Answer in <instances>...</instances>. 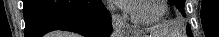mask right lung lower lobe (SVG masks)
I'll return each instance as SVG.
<instances>
[{
  "mask_svg": "<svg viewBox=\"0 0 219 37\" xmlns=\"http://www.w3.org/2000/svg\"><path fill=\"white\" fill-rule=\"evenodd\" d=\"M25 37L67 30L86 37H109L110 16L100 0H23Z\"/></svg>",
  "mask_w": 219,
  "mask_h": 37,
  "instance_id": "1",
  "label": "right lung lower lobe"
}]
</instances>
